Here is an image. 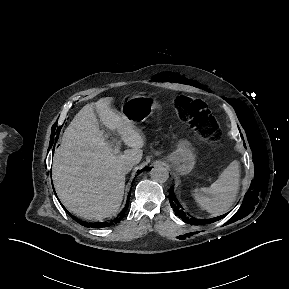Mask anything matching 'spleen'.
<instances>
[{
    "instance_id": "3e777b00",
    "label": "spleen",
    "mask_w": 289,
    "mask_h": 289,
    "mask_svg": "<svg viewBox=\"0 0 289 289\" xmlns=\"http://www.w3.org/2000/svg\"><path fill=\"white\" fill-rule=\"evenodd\" d=\"M240 186V165L232 161L208 188L195 191V200L202 210L219 215L226 212L236 200Z\"/></svg>"
}]
</instances>
